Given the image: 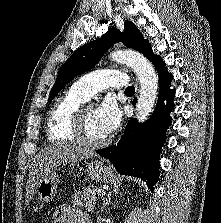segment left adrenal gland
Returning <instances> with one entry per match:
<instances>
[{
    "instance_id": "obj_1",
    "label": "left adrenal gland",
    "mask_w": 221,
    "mask_h": 223,
    "mask_svg": "<svg viewBox=\"0 0 221 223\" xmlns=\"http://www.w3.org/2000/svg\"><path fill=\"white\" fill-rule=\"evenodd\" d=\"M109 204H111V192L107 194L106 198L103 199L100 212H103L106 206H108Z\"/></svg>"
}]
</instances>
